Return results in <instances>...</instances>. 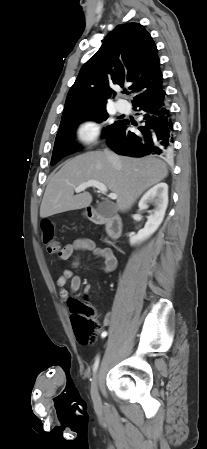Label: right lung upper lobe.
<instances>
[{
    "label": "right lung upper lobe",
    "instance_id": "1",
    "mask_svg": "<svg viewBox=\"0 0 207 449\" xmlns=\"http://www.w3.org/2000/svg\"><path fill=\"white\" fill-rule=\"evenodd\" d=\"M160 59L151 35L139 23L118 25L102 46L81 68L70 88L62 119L106 109L115 92L111 85L129 89L133 101L163 89Z\"/></svg>",
    "mask_w": 207,
    "mask_h": 449
}]
</instances>
